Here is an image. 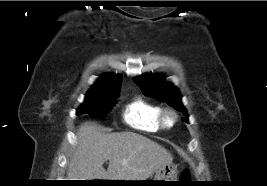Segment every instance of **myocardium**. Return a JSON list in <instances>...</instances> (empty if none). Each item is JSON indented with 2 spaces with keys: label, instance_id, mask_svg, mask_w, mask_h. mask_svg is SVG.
Returning a JSON list of instances; mask_svg holds the SVG:
<instances>
[{
  "label": "myocardium",
  "instance_id": "obj_1",
  "mask_svg": "<svg viewBox=\"0 0 267 186\" xmlns=\"http://www.w3.org/2000/svg\"><path fill=\"white\" fill-rule=\"evenodd\" d=\"M171 116L172 120L170 122L167 121V118ZM179 116L178 113L170 107L162 108L159 114V124L161 129H171L178 122Z\"/></svg>",
  "mask_w": 267,
  "mask_h": 186
}]
</instances>
